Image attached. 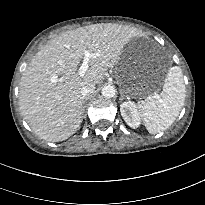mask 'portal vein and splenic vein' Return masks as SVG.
<instances>
[{
	"instance_id": "18ae733b",
	"label": "portal vein and splenic vein",
	"mask_w": 205,
	"mask_h": 205,
	"mask_svg": "<svg viewBox=\"0 0 205 205\" xmlns=\"http://www.w3.org/2000/svg\"><path fill=\"white\" fill-rule=\"evenodd\" d=\"M97 56H98L97 53H92L89 50L84 51L83 61H82V64H81V66L78 70V74L80 76H83L85 74V72L88 70L90 58H94V57H97Z\"/></svg>"
}]
</instances>
